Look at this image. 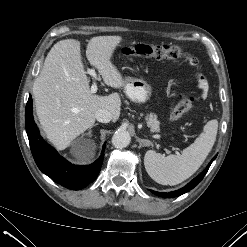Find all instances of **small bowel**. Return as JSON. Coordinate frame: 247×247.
<instances>
[{"label":"small bowel","instance_id":"1","mask_svg":"<svg viewBox=\"0 0 247 247\" xmlns=\"http://www.w3.org/2000/svg\"><path fill=\"white\" fill-rule=\"evenodd\" d=\"M198 86H199V89L201 91V97L205 98L207 96V93H208V84H207L206 80L204 78L200 77L199 81H198Z\"/></svg>","mask_w":247,"mask_h":247}]
</instances>
